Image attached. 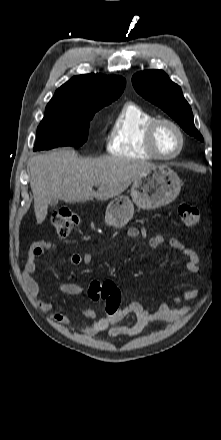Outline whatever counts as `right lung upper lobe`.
Returning <instances> with one entry per match:
<instances>
[{
	"label": "right lung upper lobe",
	"mask_w": 221,
	"mask_h": 440,
	"mask_svg": "<svg viewBox=\"0 0 221 440\" xmlns=\"http://www.w3.org/2000/svg\"><path fill=\"white\" fill-rule=\"evenodd\" d=\"M126 80L120 76L86 74L71 78L54 94L48 104L67 106H106L123 92Z\"/></svg>",
	"instance_id": "right-lung-upper-lobe-1"
}]
</instances>
